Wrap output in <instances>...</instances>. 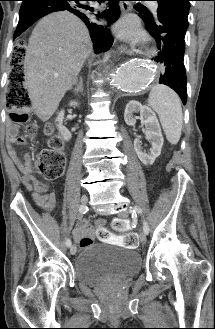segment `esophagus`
Returning <instances> with one entry per match:
<instances>
[{
	"mask_svg": "<svg viewBox=\"0 0 215 329\" xmlns=\"http://www.w3.org/2000/svg\"><path fill=\"white\" fill-rule=\"evenodd\" d=\"M121 8H122V11L124 13H126L130 10V4L128 2H123L121 4ZM119 51H120V53H124V54H127V55H132V51L126 45H123V44H121L119 46Z\"/></svg>",
	"mask_w": 215,
	"mask_h": 329,
	"instance_id": "1",
	"label": "esophagus"
}]
</instances>
